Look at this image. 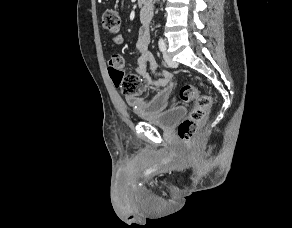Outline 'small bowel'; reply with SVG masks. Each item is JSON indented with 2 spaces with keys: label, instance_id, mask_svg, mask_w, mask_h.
<instances>
[{
  "label": "small bowel",
  "instance_id": "small-bowel-1",
  "mask_svg": "<svg viewBox=\"0 0 292 228\" xmlns=\"http://www.w3.org/2000/svg\"><path fill=\"white\" fill-rule=\"evenodd\" d=\"M152 13L149 8H145L140 13L142 26L139 30L138 40L136 42V52L138 54V64L134 69L143 83L142 93L148 87H156L157 91L150 98L128 97L127 102L134 108L137 115L154 116L163 112L167 108L168 98L173 91L171 82L172 73L168 70H157V63L149 50L150 45V28ZM117 44L122 43V37L117 35L114 37Z\"/></svg>",
  "mask_w": 292,
  "mask_h": 228
}]
</instances>
